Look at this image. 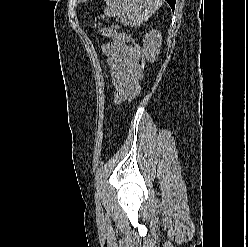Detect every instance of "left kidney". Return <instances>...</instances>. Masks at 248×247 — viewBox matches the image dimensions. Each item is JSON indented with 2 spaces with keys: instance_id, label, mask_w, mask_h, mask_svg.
<instances>
[{
  "instance_id": "left-kidney-1",
  "label": "left kidney",
  "mask_w": 248,
  "mask_h": 247,
  "mask_svg": "<svg viewBox=\"0 0 248 247\" xmlns=\"http://www.w3.org/2000/svg\"><path fill=\"white\" fill-rule=\"evenodd\" d=\"M162 35L157 30H151L143 39V51L146 59L153 63L160 52Z\"/></svg>"
}]
</instances>
